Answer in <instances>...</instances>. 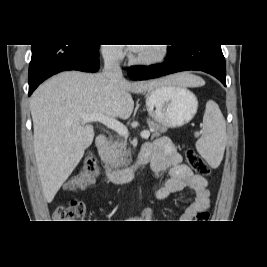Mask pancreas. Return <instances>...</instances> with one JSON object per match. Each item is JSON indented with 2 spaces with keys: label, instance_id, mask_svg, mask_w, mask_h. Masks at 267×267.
I'll return each mask as SVG.
<instances>
[{
  "label": "pancreas",
  "instance_id": "cf45deb5",
  "mask_svg": "<svg viewBox=\"0 0 267 267\" xmlns=\"http://www.w3.org/2000/svg\"><path fill=\"white\" fill-rule=\"evenodd\" d=\"M147 124L152 132V137H159L162 133L167 131L166 126H163L154 121L148 120ZM130 156V150L127 149L126 140L117 139L116 141H110L104 151L103 159L107 166L112 169H118L127 166L129 163L128 157Z\"/></svg>",
  "mask_w": 267,
  "mask_h": 267
}]
</instances>
